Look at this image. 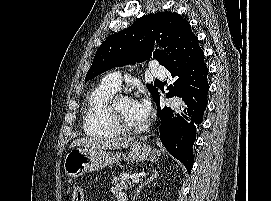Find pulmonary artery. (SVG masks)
I'll use <instances>...</instances> for the list:
<instances>
[{"label":"pulmonary artery","mask_w":271,"mask_h":201,"mask_svg":"<svg viewBox=\"0 0 271 201\" xmlns=\"http://www.w3.org/2000/svg\"><path fill=\"white\" fill-rule=\"evenodd\" d=\"M151 74L155 77H164L166 70L159 64L158 61H152L150 63ZM121 77L119 72H110L106 74L102 79V85L117 90L120 86Z\"/></svg>","instance_id":"obj_1"}]
</instances>
